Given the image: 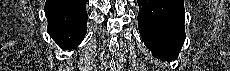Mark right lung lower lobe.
<instances>
[{
    "label": "right lung lower lobe",
    "instance_id": "right-lung-lower-lobe-1",
    "mask_svg": "<svg viewBox=\"0 0 230 71\" xmlns=\"http://www.w3.org/2000/svg\"><path fill=\"white\" fill-rule=\"evenodd\" d=\"M88 0H46L44 11L48 33L63 49L75 48L87 31L86 3Z\"/></svg>",
    "mask_w": 230,
    "mask_h": 71
}]
</instances>
